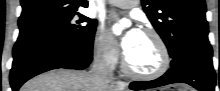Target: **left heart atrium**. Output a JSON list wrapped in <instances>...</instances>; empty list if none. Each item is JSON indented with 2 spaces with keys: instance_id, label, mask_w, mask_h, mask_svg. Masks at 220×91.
Returning <instances> with one entry per match:
<instances>
[{
  "instance_id": "39dd6f15",
  "label": "left heart atrium",
  "mask_w": 220,
  "mask_h": 91,
  "mask_svg": "<svg viewBox=\"0 0 220 91\" xmlns=\"http://www.w3.org/2000/svg\"><path fill=\"white\" fill-rule=\"evenodd\" d=\"M140 34L141 31L138 28L132 27L123 35L120 45L124 54H126L132 48Z\"/></svg>"
}]
</instances>
